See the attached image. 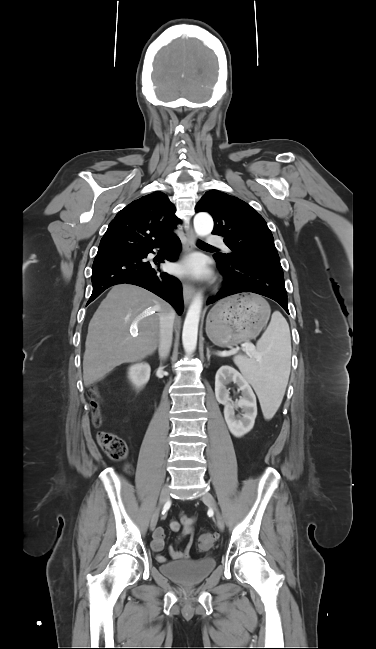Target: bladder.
<instances>
[{
	"instance_id": "31cf9c89",
	"label": "bladder",
	"mask_w": 376,
	"mask_h": 649,
	"mask_svg": "<svg viewBox=\"0 0 376 649\" xmlns=\"http://www.w3.org/2000/svg\"><path fill=\"white\" fill-rule=\"evenodd\" d=\"M216 561L211 557L197 560H179L162 563L160 571L175 582L184 585L201 583L215 568Z\"/></svg>"
}]
</instances>
